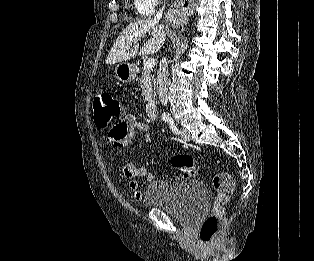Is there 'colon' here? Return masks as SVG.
Masks as SVG:
<instances>
[{
	"label": "colon",
	"mask_w": 314,
	"mask_h": 261,
	"mask_svg": "<svg viewBox=\"0 0 314 261\" xmlns=\"http://www.w3.org/2000/svg\"><path fill=\"white\" fill-rule=\"evenodd\" d=\"M94 121L97 127L106 128L114 125V129L121 127L123 108L121 103L108 92L98 93L93 101ZM125 137V136H124ZM172 166L180 171L176 178H192L197 175L198 167L195 159L190 155H176L171 159ZM216 191V200L212 213L208 215L199 228V238L202 242L212 243L217 240L224 222V205L235 192V182L225 172H217L212 179Z\"/></svg>",
	"instance_id": "1"
}]
</instances>
